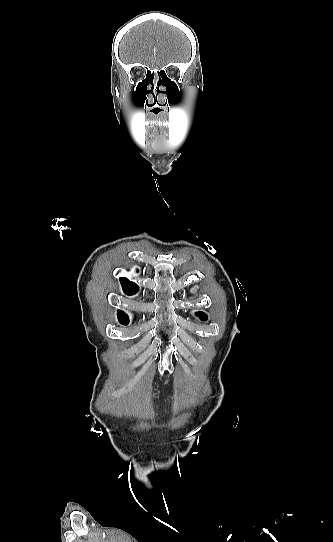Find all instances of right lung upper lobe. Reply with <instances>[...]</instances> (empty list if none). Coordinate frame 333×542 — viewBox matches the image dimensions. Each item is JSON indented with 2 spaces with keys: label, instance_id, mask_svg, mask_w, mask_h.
<instances>
[{
  "label": "right lung upper lobe",
  "instance_id": "right-lung-upper-lobe-1",
  "mask_svg": "<svg viewBox=\"0 0 333 542\" xmlns=\"http://www.w3.org/2000/svg\"><path fill=\"white\" fill-rule=\"evenodd\" d=\"M120 282L122 284L124 292L127 295L135 294L139 290V287L135 283L130 282L126 278H120ZM118 319L128 320V316L124 312L118 311Z\"/></svg>",
  "mask_w": 333,
  "mask_h": 542
}]
</instances>
